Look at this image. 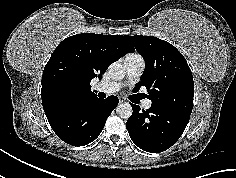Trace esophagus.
<instances>
[{"mask_svg":"<svg viewBox=\"0 0 236 178\" xmlns=\"http://www.w3.org/2000/svg\"><path fill=\"white\" fill-rule=\"evenodd\" d=\"M124 100L123 99H119V104H123Z\"/></svg>","mask_w":236,"mask_h":178,"instance_id":"obj_1","label":"esophagus"}]
</instances>
